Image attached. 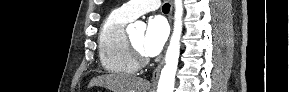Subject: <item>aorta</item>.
Here are the masks:
<instances>
[{"label":"aorta","mask_w":289,"mask_h":92,"mask_svg":"<svg viewBox=\"0 0 289 92\" xmlns=\"http://www.w3.org/2000/svg\"><path fill=\"white\" fill-rule=\"evenodd\" d=\"M174 29L165 55V64L161 70L157 92H173L175 75L180 56V39L182 34L183 5L182 0H175ZM145 27L143 22H136L131 27Z\"/></svg>","instance_id":"762f6f07"}]
</instances>
